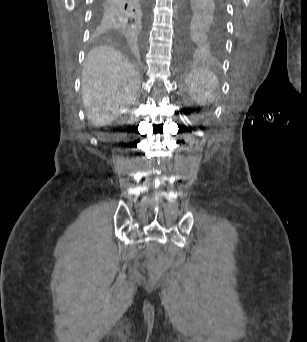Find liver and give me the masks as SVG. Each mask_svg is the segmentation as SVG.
<instances>
[{"label":"liver","mask_w":307,"mask_h":342,"mask_svg":"<svg viewBox=\"0 0 307 342\" xmlns=\"http://www.w3.org/2000/svg\"><path fill=\"white\" fill-rule=\"evenodd\" d=\"M81 88L86 116L101 128L135 104L140 76L120 52L110 46H99L84 60Z\"/></svg>","instance_id":"6515ba94"}]
</instances>
